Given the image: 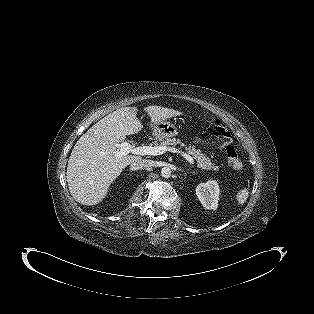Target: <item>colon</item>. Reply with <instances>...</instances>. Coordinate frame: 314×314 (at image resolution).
Listing matches in <instances>:
<instances>
[{
    "instance_id": "colon-1",
    "label": "colon",
    "mask_w": 314,
    "mask_h": 314,
    "mask_svg": "<svg viewBox=\"0 0 314 314\" xmlns=\"http://www.w3.org/2000/svg\"><path fill=\"white\" fill-rule=\"evenodd\" d=\"M210 130L214 136L223 141V149L230 166L235 170L243 168V162L238 156L237 150L230 144V134L227 128L218 119H215L210 125Z\"/></svg>"
}]
</instances>
